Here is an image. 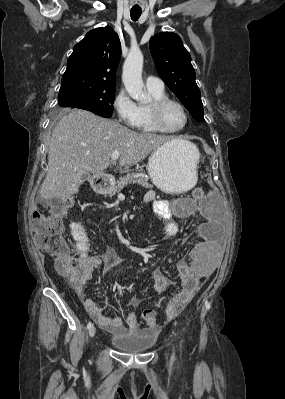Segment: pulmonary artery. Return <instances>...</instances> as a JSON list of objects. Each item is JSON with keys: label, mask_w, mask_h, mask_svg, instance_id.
Instances as JSON below:
<instances>
[{"label": "pulmonary artery", "mask_w": 285, "mask_h": 399, "mask_svg": "<svg viewBox=\"0 0 285 399\" xmlns=\"http://www.w3.org/2000/svg\"><path fill=\"white\" fill-rule=\"evenodd\" d=\"M145 83L148 89H162L164 88L163 81L156 77L149 75L145 78Z\"/></svg>", "instance_id": "1"}]
</instances>
